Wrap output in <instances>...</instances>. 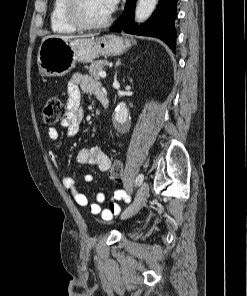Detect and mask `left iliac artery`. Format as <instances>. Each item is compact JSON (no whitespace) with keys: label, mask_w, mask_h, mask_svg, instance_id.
<instances>
[{"label":"left iliac artery","mask_w":247,"mask_h":296,"mask_svg":"<svg viewBox=\"0 0 247 296\" xmlns=\"http://www.w3.org/2000/svg\"><path fill=\"white\" fill-rule=\"evenodd\" d=\"M143 180H144V175L143 174H139L138 175V177H137V179H136V185L137 184H141L142 182H143Z\"/></svg>","instance_id":"left-iliac-artery-1"}]
</instances>
